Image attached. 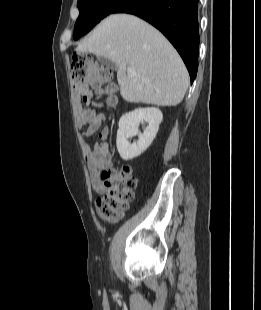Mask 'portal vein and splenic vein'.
<instances>
[{
	"instance_id": "portal-vein-and-splenic-vein-1",
	"label": "portal vein and splenic vein",
	"mask_w": 261,
	"mask_h": 310,
	"mask_svg": "<svg viewBox=\"0 0 261 310\" xmlns=\"http://www.w3.org/2000/svg\"><path fill=\"white\" fill-rule=\"evenodd\" d=\"M134 69L132 67H128L127 68V73L131 74V73H134Z\"/></svg>"
}]
</instances>
